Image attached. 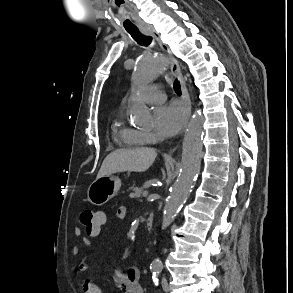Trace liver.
<instances>
[{
  "label": "liver",
  "mask_w": 293,
  "mask_h": 293,
  "mask_svg": "<svg viewBox=\"0 0 293 293\" xmlns=\"http://www.w3.org/2000/svg\"><path fill=\"white\" fill-rule=\"evenodd\" d=\"M157 156L153 148L120 149L110 153L103 161L97 179L118 172H144Z\"/></svg>",
  "instance_id": "liver-1"
}]
</instances>
